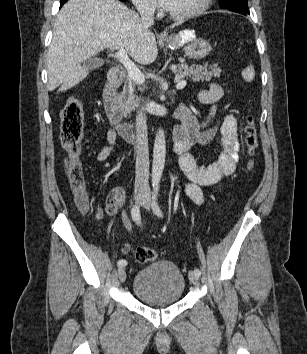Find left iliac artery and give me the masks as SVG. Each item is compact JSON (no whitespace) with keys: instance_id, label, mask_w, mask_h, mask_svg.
Segmentation results:
<instances>
[{"instance_id":"1","label":"left iliac artery","mask_w":307,"mask_h":354,"mask_svg":"<svg viewBox=\"0 0 307 354\" xmlns=\"http://www.w3.org/2000/svg\"><path fill=\"white\" fill-rule=\"evenodd\" d=\"M158 191H159V185H155L154 186V192H153V195H152V208H153V212L158 216V217H163V213L159 207V204H158ZM194 273L197 275V276H200L201 275V271L196 268L194 269Z\"/></svg>"}]
</instances>
